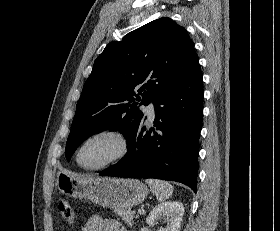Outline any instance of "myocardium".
Returning <instances> with one entry per match:
<instances>
[{
  "label": "myocardium",
  "mask_w": 280,
  "mask_h": 231,
  "mask_svg": "<svg viewBox=\"0 0 280 231\" xmlns=\"http://www.w3.org/2000/svg\"><path fill=\"white\" fill-rule=\"evenodd\" d=\"M104 134H110V135H114L117 138H119L120 142H121V151L120 153L111 161H109L108 163L97 167V168H85L82 166V164L80 163V153L83 149V147L85 146V144L92 138L99 136V135H104ZM130 150V139L127 135V133L125 131H123L120 128H116V127H107V128H103L100 129L94 133H92L91 135H89L88 137H86L83 142L80 144V146L78 147L77 151H76V156H75V160L76 163L78 165V167L80 169H82L85 172H97V171H102L108 167H111L117 163H119L120 161H122L123 159L126 158V156L128 155Z\"/></svg>",
  "instance_id": "myocardium-1"
}]
</instances>
